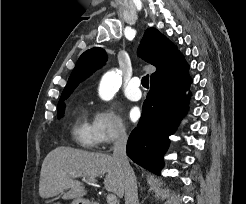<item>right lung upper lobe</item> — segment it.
I'll return each instance as SVG.
<instances>
[{
	"label": "right lung upper lobe",
	"mask_w": 246,
	"mask_h": 204,
	"mask_svg": "<svg viewBox=\"0 0 246 204\" xmlns=\"http://www.w3.org/2000/svg\"><path fill=\"white\" fill-rule=\"evenodd\" d=\"M138 54L157 68V71L151 75V80L187 65L177 47L156 28L146 30ZM106 58V53L101 48L85 51L78 59L61 98L68 97L81 81L104 64Z\"/></svg>",
	"instance_id": "cb5924a9"
}]
</instances>
